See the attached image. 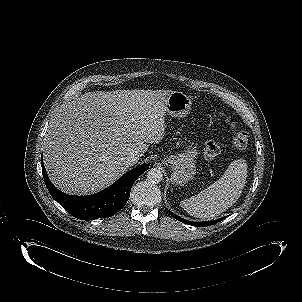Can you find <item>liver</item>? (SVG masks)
I'll return each instance as SVG.
<instances>
[{"mask_svg": "<svg viewBox=\"0 0 302 302\" xmlns=\"http://www.w3.org/2000/svg\"><path fill=\"white\" fill-rule=\"evenodd\" d=\"M171 90L95 91L63 105L52 119L44 165L61 191L96 193L129 168V152L142 156L165 134V104Z\"/></svg>", "mask_w": 302, "mask_h": 302, "instance_id": "6515ba94", "label": "liver"}]
</instances>
